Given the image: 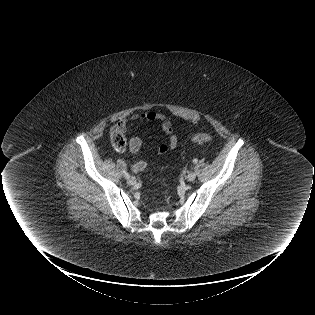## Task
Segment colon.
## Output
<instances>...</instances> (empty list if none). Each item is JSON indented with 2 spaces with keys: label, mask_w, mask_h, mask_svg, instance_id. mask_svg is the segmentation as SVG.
I'll list each match as a JSON object with an SVG mask.
<instances>
[{
  "label": "colon",
  "mask_w": 315,
  "mask_h": 315,
  "mask_svg": "<svg viewBox=\"0 0 315 315\" xmlns=\"http://www.w3.org/2000/svg\"><path fill=\"white\" fill-rule=\"evenodd\" d=\"M111 144L116 152L123 153L126 151L127 142L124 136V131L118 124L111 130L110 134ZM213 137L209 133H199L192 137V141L197 144L207 143L212 141Z\"/></svg>",
  "instance_id": "obj_1"
}]
</instances>
